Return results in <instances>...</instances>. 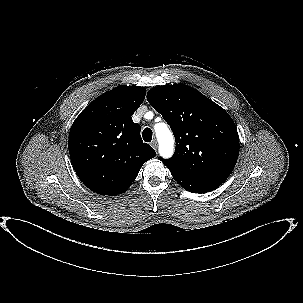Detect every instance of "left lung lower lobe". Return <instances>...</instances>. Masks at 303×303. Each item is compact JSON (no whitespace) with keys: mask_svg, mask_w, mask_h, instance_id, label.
Listing matches in <instances>:
<instances>
[{"mask_svg":"<svg viewBox=\"0 0 303 303\" xmlns=\"http://www.w3.org/2000/svg\"><path fill=\"white\" fill-rule=\"evenodd\" d=\"M174 179L186 190L205 193L220 186L229 175L186 176L171 172Z\"/></svg>","mask_w":303,"mask_h":303,"instance_id":"0a47b994","label":"left lung lower lobe"}]
</instances>
